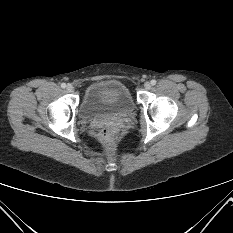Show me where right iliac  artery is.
I'll return each mask as SVG.
<instances>
[{
    "mask_svg": "<svg viewBox=\"0 0 233 233\" xmlns=\"http://www.w3.org/2000/svg\"><path fill=\"white\" fill-rule=\"evenodd\" d=\"M61 87H62V88H66V84H65V83H62V84H61Z\"/></svg>",
    "mask_w": 233,
    "mask_h": 233,
    "instance_id": "obj_1",
    "label": "right iliac artery"
}]
</instances>
